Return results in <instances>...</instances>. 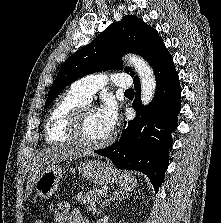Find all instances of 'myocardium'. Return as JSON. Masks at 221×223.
<instances>
[{
    "label": "myocardium",
    "instance_id": "f54148a6",
    "mask_svg": "<svg viewBox=\"0 0 221 223\" xmlns=\"http://www.w3.org/2000/svg\"><path fill=\"white\" fill-rule=\"evenodd\" d=\"M97 108L94 105L85 103L76 107L69 115L65 132L72 142L77 146L85 150H97L103 147L108 146L114 139V134L110 133L107 138L100 142L90 143L83 140L82 132V122L84 116L87 112L91 110H96Z\"/></svg>",
    "mask_w": 221,
    "mask_h": 223
}]
</instances>
